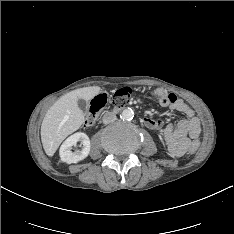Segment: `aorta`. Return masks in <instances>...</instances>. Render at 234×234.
Returning <instances> with one entry per match:
<instances>
[{
	"label": "aorta",
	"mask_w": 234,
	"mask_h": 234,
	"mask_svg": "<svg viewBox=\"0 0 234 234\" xmlns=\"http://www.w3.org/2000/svg\"><path fill=\"white\" fill-rule=\"evenodd\" d=\"M133 117H134V112H133V110L130 109V108L124 109V110L122 111V113L120 114V118H121L122 120H131V119H133Z\"/></svg>",
	"instance_id": "1"
}]
</instances>
